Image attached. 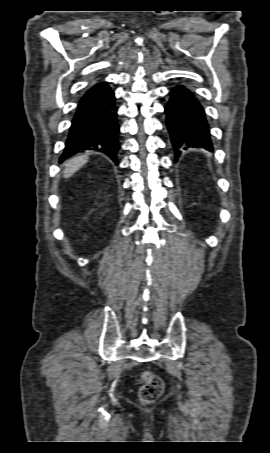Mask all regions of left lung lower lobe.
Instances as JSON below:
<instances>
[{"label": "left lung lower lobe", "instance_id": "obj_1", "mask_svg": "<svg viewBox=\"0 0 270 453\" xmlns=\"http://www.w3.org/2000/svg\"><path fill=\"white\" fill-rule=\"evenodd\" d=\"M165 112L176 158L190 147L213 151L205 111L192 91L182 85L173 88Z\"/></svg>", "mask_w": 270, "mask_h": 453}]
</instances>
